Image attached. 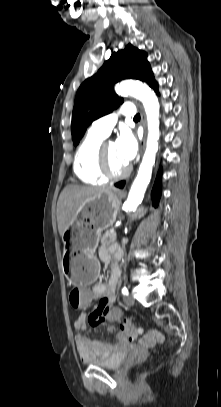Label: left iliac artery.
Wrapping results in <instances>:
<instances>
[{
  "label": "left iliac artery",
  "mask_w": 221,
  "mask_h": 407,
  "mask_svg": "<svg viewBox=\"0 0 221 407\" xmlns=\"http://www.w3.org/2000/svg\"><path fill=\"white\" fill-rule=\"evenodd\" d=\"M121 292H122L123 295H128L129 294V291H128V289L126 287H123Z\"/></svg>",
  "instance_id": "44dca946"
}]
</instances>
